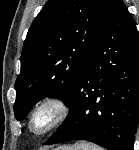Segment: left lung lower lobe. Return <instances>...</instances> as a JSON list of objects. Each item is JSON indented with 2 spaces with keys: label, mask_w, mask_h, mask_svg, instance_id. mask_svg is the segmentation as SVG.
<instances>
[{
  "label": "left lung lower lobe",
  "mask_w": 139,
  "mask_h": 150,
  "mask_svg": "<svg viewBox=\"0 0 139 150\" xmlns=\"http://www.w3.org/2000/svg\"><path fill=\"white\" fill-rule=\"evenodd\" d=\"M69 115L44 143L86 140L107 150H132L139 121V36L116 0L70 99Z\"/></svg>",
  "instance_id": "1"
}]
</instances>
